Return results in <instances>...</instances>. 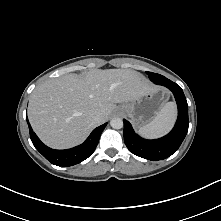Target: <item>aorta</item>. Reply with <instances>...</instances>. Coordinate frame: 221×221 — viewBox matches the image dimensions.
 Wrapping results in <instances>:
<instances>
[{
    "mask_svg": "<svg viewBox=\"0 0 221 221\" xmlns=\"http://www.w3.org/2000/svg\"><path fill=\"white\" fill-rule=\"evenodd\" d=\"M110 125L114 129H121L123 127V120L121 118H113L110 121Z\"/></svg>",
    "mask_w": 221,
    "mask_h": 221,
    "instance_id": "1",
    "label": "aorta"
}]
</instances>
